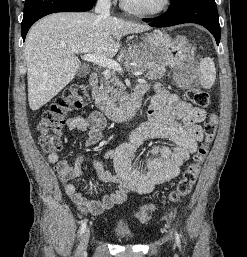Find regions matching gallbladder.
<instances>
[{
    "mask_svg": "<svg viewBox=\"0 0 247 257\" xmlns=\"http://www.w3.org/2000/svg\"><path fill=\"white\" fill-rule=\"evenodd\" d=\"M90 73V69L88 67L82 66L78 71H77V76L78 77H85Z\"/></svg>",
    "mask_w": 247,
    "mask_h": 257,
    "instance_id": "1",
    "label": "gallbladder"
}]
</instances>
